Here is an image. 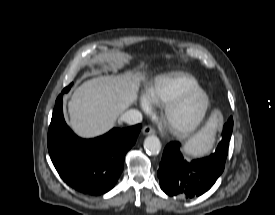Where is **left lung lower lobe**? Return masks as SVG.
<instances>
[{"label":"left lung lower lobe","instance_id":"0a47b994","mask_svg":"<svg viewBox=\"0 0 275 215\" xmlns=\"http://www.w3.org/2000/svg\"><path fill=\"white\" fill-rule=\"evenodd\" d=\"M232 119V117H231ZM233 130L232 125L223 130L222 142L227 145ZM180 143L171 142L164 149L157 172L161 189L169 196L194 198L208 191L224 170L225 161L210 155L187 162Z\"/></svg>","mask_w":275,"mask_h":215}]
</instances>
